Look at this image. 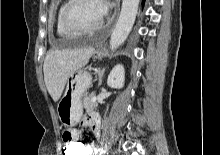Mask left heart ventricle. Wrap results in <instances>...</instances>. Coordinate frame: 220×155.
<instances>
[{
	"label": "left heart ventricle",
	"instance_id": "1",
	"mask_svg": "<svg viewBox=\"0 0 220 155\" xmlns=\"http://www.w3.org/2000/svg\"><path fill=\"white\" fill-rule=\"evenodd\" d=\"M72 19L79 25L90 27L98 24L103 15L97 0H81L72 11Z\"/></svg>",
	"mask_w": 220,
	"mask_h": 155
}]
</instances>
